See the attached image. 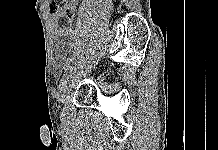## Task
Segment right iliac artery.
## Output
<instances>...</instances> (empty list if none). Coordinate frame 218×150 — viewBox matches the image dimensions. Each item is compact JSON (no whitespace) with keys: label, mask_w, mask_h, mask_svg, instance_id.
Segmentation results:
<instances>
[{"label":"right iliac artery","mask_w":218,"mask_h":150,"mask_svg":"<svg viewBox=\"0 0 218 150\" xmlns=\"http://www.w3.org/2000/svg\"><path fill=\"white\" fill-rule=\"evenodd\" d=\"M73 61H74V58H70V59H69L68 67H70V65H71V63H73Z\"/></svg>","instance_id":"82829eb1"}]
</instances>
